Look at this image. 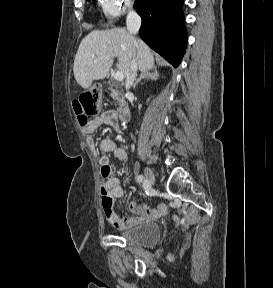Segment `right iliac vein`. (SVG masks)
<instances>
[{"label": "right iliac vein", "instance_id": "1", "mask_svg": "<svg viewBox=\"0 0 273 288\" xmlns=\"http://www.w3.org/2000/svg\"><path fill=\"white\" fill-rule=\"evenodd\" d=\"M144 175H145V178H146L148 184L151 185L154 183L155 176H154L153 171L149 167H146L144 169Z\"/></svg>", "mask_w": 273, "mask_h": 288}]
</instances>
